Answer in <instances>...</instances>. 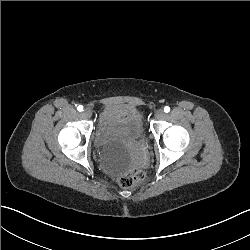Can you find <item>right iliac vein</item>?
Wrapping results in <instances>:
<instances>
[{
  "mask_svg": "<svg viewBox=\"0 0 250 250\" xmlns=\"http://www.w3.org/2000/svg\"><path fill=\"white\" fill-rule=\"evenodd\" d=\"M83 115L86 118H90L92 116V111L89 108L83 110Z\"/></svg>",
  "mask_w": 250,
  "mask_h": 250,
  "instance_id": "right-iliac-vein-1",
  "label": "right iliac vein"
}]
</instances>
